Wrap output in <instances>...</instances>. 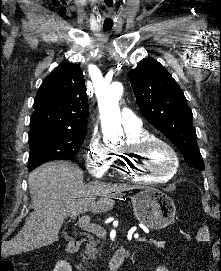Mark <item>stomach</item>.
I'll return each mask as SVG.
<instances>
[{
	"label": "stomach",
	"mask_w": 221,
	"mask_h": 271,
	"mask_svg": "<svg viewBox=\"0 0 221 271\" xmlns=\"http://www.w3.org/2000/svg\"><path fill=\"white\" fill-rule=\"evenodd\" d=\"M134 215L150 229H164L172 223L176 207L171 197L162 191L141 189L132 199Z\"/></svg>",
	"instance_id": "1"
}]
</instances>
